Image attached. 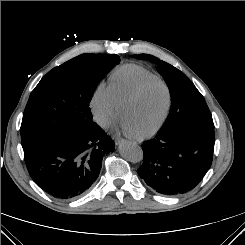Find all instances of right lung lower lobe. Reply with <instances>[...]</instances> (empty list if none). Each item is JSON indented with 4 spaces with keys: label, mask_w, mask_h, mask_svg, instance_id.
Instances as JSON below:
<instances>
[{
    "label": "right lung lower lobe",
    "mask_w": 245,
    "mask_h": 245,
    "mask_svg": "<svg viewBox=\"0 0 245 245\" xmlns=\"http://www.w3.org/2000/svg\"><path fill=\"white\" fill-rule=\"evenodd\" d=\"M115 143L95 122L84 130H67L24 149L33 181L59 199L85 194L96 181L102 158Z\"/></svg>",
    "instance_id": "obj_1"
}]
</instances>
